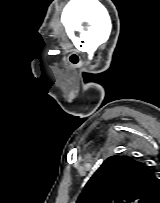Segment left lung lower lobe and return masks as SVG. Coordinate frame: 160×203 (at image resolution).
<instances>
[{
	"label": "left lung lower lobe",
	"instance_id": "1",
	"mask_svg": "<svg viewBox=\"0 0 160 203\" xmlns=\"http://www.w3.org/2000/svg\"><path fill=\"white\" fill-rule=\"evenodd\" d=\"M155 203H160V196H159L158 199L155 201Z\"/></svg>",
	"mask_w": 160,
	"mask_h": 203
}]
</instances>
